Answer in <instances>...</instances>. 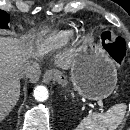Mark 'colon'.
Here are the masks:
<instances>
[{"label": "colon", "mask_w": 130, "mask_h": 130, "mask_svg": "<svg viewBox=\"0 0 130 130\" xmlns=\"http://www.w3.org/2000/svg\"><path fill=\"white\" fill-rule=\"evenodd\" d=\"M102 46L118 61L121 62L124 56L125 44L120 38L111 33L102 35Z\"/></svg>", "instance_id": "obj_1"}]
</instances>
